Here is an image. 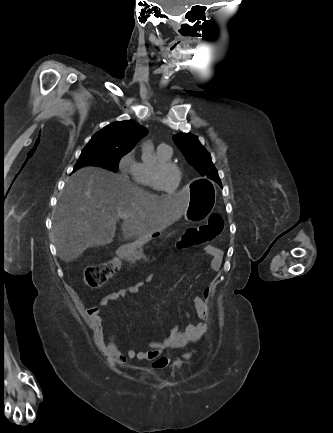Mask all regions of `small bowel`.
Returning <instances> with one entry per match:
<instances>
[{"label":"small bowel","mask_w":333,"mask_h":433,"mask_svg":"<svg viewBox=\"0 0 333 433\" xmlns=\"http://www.w3.org/2000/svg\"><path fill=\"white\" fill-rule=\"evenodd\" d=\"M203 250L212 256L211 269L217 271L222 260L221 250L212 245L205 246ZM152 280L153 275L150 274L146 276L142 282L106 294L100 299L98 306L91 307L87 310V317L93 329L97 345L117 366L124 365L128 359L151 361L153 366L157 360L162 358V351L169 348H182L190 342H197L207 332L208 325L205 321L210 317V298L212 296V290L209 287L204 289L203 297L195 296L191 299L193 313H186L188 322L182 329L175 326L171 327L164 338L145 342L144 349L137 351L130 348L126 352H122L115 335L110 334L105 340L103 335V317L101 315V308L107 305L110 301L124 299L129 294H137L141 287ZM193 317L198 319L199 322H193Z\"/></svg>","instance_id":"c3829d8e"}]
</instances>
